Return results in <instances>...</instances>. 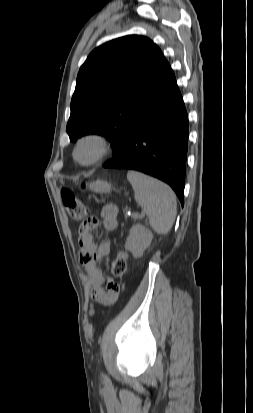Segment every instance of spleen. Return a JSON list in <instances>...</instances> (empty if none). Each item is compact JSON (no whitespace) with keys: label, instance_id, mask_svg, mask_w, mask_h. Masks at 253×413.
I'll return each mask as SVG.
<instances>
[{"label":"spleen","instance_id":"3e777b00","mask_svg":"<svg viewBox=\"0 0 253 413\" xmlns=\"http://www.w3.org/2000/svg\"><path fill=\"white\" fill-rule=\"evenodd\" d=\"M127 179L134 190L135 200L144 209L151 227L158 234H167L177 213L176 196L172 189L163 182L134 170L128 171Z\"/></svg>","mask_w":253,"mask_h":413}]
</instances>
